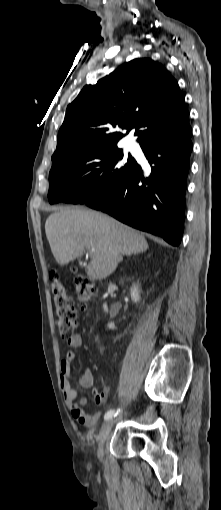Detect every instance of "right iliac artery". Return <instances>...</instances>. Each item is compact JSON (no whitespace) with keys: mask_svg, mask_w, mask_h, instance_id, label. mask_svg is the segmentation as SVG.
<instances>
[{"mask_svg":"<svg viewBox=\"0 0 221 510\" xmlns=\"http://www.w3.org/2000/svg\"><path fill=\"white\" fill-rule=\"evenodd\" d=\"M117 414H118V410H117V411H115V410H109V411H107V412L105 413V415H104V419H105V420L111 419V418H113V417H116V416H117Z\"/></svg>","mask_w":221,"mask_h":510,"instance_id":"1","label":"right iliac artery"}]
</instances>
